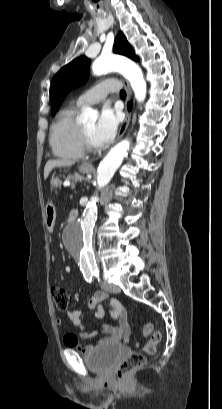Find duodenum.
Masks as SVG:
<instances>
[{
  "label": "duodenum",
  "mask_w": 222,
  "mask_h": 409,
  "mask_svg": "<svg viewBox=\"0 0 222 409\" xmlns=\"http://www.w3.org/2000/svg\"><path fill=\"white\" fill-rule=\"evenodd\" d=\"M78 218V211L77 210H71L69 213V221L74 222Z\"/></svg>",
  "instance_id": "410a0bca"
}]
</instances>
